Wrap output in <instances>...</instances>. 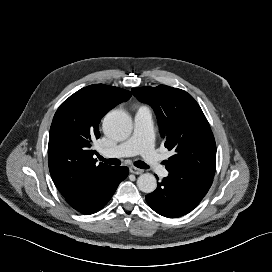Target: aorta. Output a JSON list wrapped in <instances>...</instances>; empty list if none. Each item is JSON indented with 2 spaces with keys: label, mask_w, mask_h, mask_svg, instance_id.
I'll list each match as a JSON object with an SVG mask.
<instances>
[{
  "label": "aorta",
  "mask_w": 272,
  "mask_h": 272,
  "mask_svg": "<svg viewBox=\"0 0 272 272\" xmlns=\"http://www.w3.org/2000/svg\"><path fill=\"white\" fill-rule=\"evenodd\" d=\"M103 131L114 140L126 139L132 131L130 116L121 110L110 111L104 117ZM137 186L144 193H152L157 187V181L153 174L145 173L138 177Z\"/></svg>",
  "instance_id": "1"
}]
</instances>
